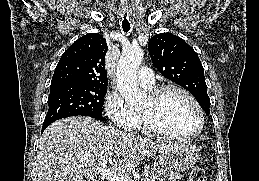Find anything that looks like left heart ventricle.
<instances>
[{"label":"left heart ventricle","instance_id":"left-heart-ventricle-1","mask_svg":"<svg viewBox=\"0 0 259 181\" xmlns=\"http://www.w3.org/2000/svg\"><path fill=\"white\" fill-rule=\"evenodd\" d=\"M140 112L148 116L153 126L169 132L192 131L198 122L192 103L177 91L167 92L157 102L148 97Z\"/></svg>","mask_w":259,"mask_h":181}]
</instances>
